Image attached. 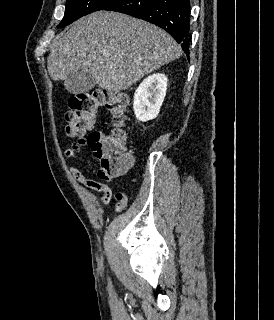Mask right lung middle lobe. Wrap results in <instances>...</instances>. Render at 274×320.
I'll list each match as a JSON object with an SVG mask.
<instances>
[{"instance_id": "right-lung-middle-lobe-1", "label": "right lung middle lobe", "mask_w": 274, "mask_h": 320, "mask_svg": "<svg viewBox=\"0 0 274 320\" xmlns=\"http://www.w3.org/2000/svg\"><path fill=\"white\" fill-rule=\"evenodd\" d=\"M115 0H67L65 15L57 27L71 24L78 18L104 9Z\"/></svg>"}]
</instances>
